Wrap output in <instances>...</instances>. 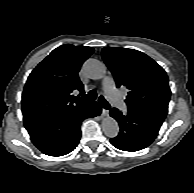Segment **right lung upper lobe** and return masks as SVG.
<instances>
[{
	"mask_svg": "<svg viewBox=\"0 0 194 193\" xmlns=\"http://www.w3.org/2000/svg\"><path fill=\"white\" fill-rule=\"evenodd\" d=\"M94 49L62 45L53 50L32 71L22 94L24 125L52 120L88 104L73 96L84 94L78 72Z\"/></svg>",
	"mask_w": 194,
	"mask_h": 193,
	"instance_id": "1",
	"label": "right lung upper lobe"
}]
</instances>
